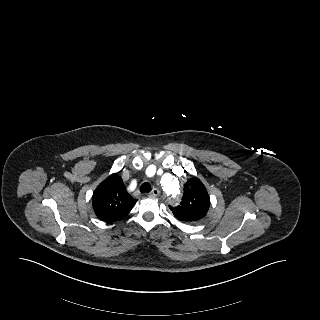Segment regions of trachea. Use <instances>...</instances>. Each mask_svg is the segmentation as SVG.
<instances>
[{"mask_svg":"<svg viewBox=\"0 0 320 320\" xmlns=\"http://www.w3.org/2000/svg\"><path fill=\"white\" fill-rule=\"evenodd\" d=\"M151 190V185L148 182H145L141 185L140 191L142 193H148Z\"/></svg>","mask_w":320,"mask_h":320,"instance_id":"trachea-1","label":"trachea"}]
</instances>
